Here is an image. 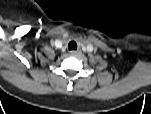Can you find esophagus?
Returning a JSON list of instances; mask_svg holds the SVG:
<instances>
[{"label": "esophagus", "mask_w": 151, "mask_h": 114, "mask_svg": "<svg viewBox=\"0 0 151 114\" xmlns=\"http://www.w3.org/2000/svg\"><path fill=\"white\" fill-rule=\"evenodd\" d=\"M70 54L73 55V56H78V55L81 54V51H79V50H72V51H70Z\"/></svg>", "instance_id": "obj_1"}]
</instances>
